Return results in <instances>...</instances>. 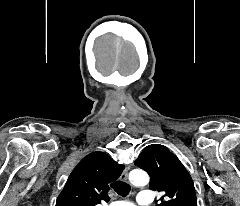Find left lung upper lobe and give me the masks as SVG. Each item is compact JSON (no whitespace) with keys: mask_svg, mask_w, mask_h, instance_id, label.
<instances>
[{"mask_svg":"<svg viewBox=\"0 0 240 206\" xmlns=\"http://www.w3.org/2000/svg\"><path fill=\"white\" fill-rule=\"evenodd\" d=\"M135 165L151 177V190L165 193L157 206H197L190 174L167 147L160 144L146 146Z\"/></svg>","mask_w":240,"mask_h":206,"instance_id":"5c2ea615","label":"left lung upper lobe"}]
</instances>
